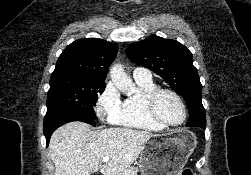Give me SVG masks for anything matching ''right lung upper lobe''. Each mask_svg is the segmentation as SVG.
<instances>
[{"mask_svg": "<svg viewBox=\"0 0 251 175\" xmlns=\"http://www.w3.org/2000/svg\"><path fill=\"white\" fill-rule=\"evenodd\" d=\"M118 47L103 39H79L68 45L59 56L50 79L105 86L108 67Z\"/></svg>", "mask_w": 251, "mask_h": 175, "instance_id": "1", "label": "right lung upper lobe"}]
</instances>
